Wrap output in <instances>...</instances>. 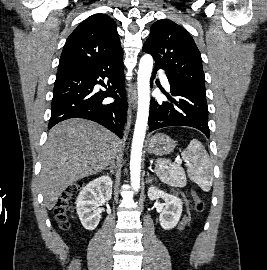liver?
Returning <instances> with one entry per match:
<instances>
[{
  "instance_id": "obj_1",
  "label": "liver",
  "mask_w": 267,
  "mask_h": 270,
  "mask_svg": "<svg viewBox=\"0 0 267 270\" xmlns=\"http://www.w3.org/2000/svg\"><path fill=\"white\" fill-rule=\"evenodd\" d=\"M118 148L119 139L94 122L72 118L55 125L41 156L40 185L47 209L69 185L105 169Z\"/></svg>"
}]
</instances>
